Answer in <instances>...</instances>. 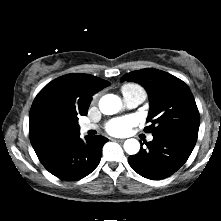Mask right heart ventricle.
Masks as SVG:
<instances>
[{
  "label": "right heart ventricle",
  "instance_id": "e07e8e85",
  "mask_svg": "<svg viewBox=\"0 0 221 221\" xmlns=\"http://www.w3.org/2000/svg\"><path fill=\"white\" fill-rule=\"evenodd\" d=\"M121 91L123 94H127L135 91H144V90L137 84H125L122 86Z\"/></svg>",
  "mask_w": 221,
  "mask_h": 221
}]
</instances>
